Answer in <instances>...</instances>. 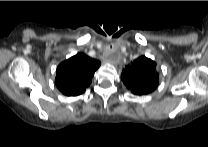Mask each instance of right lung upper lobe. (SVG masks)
<instances>
[{"instance_id":"obj_1","label":"right lung upper lobe","mask_w":208,"mask_h":147,"mask_svg":"<svg viewBox=\"0 0 208 147\" xmlns=\"http://www.w3.org/2000/svg\"><path fill=\"white\" fill-rule=\"evenodd\" d=\"M101 65L83 53H78L62 62L56 70L57 88L67 96L82 94L90 85L94 72Z\"/></svg>"}]
</instances>
